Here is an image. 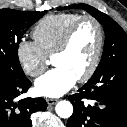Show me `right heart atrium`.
Returning a JSON list of instances; mask_svg holds the SVG:
<instances>
[{
  "label": "right heart atrium",
  "mask_w": 127,
  "mask_h": 127,
  "mask_svg": "<svg viewBox=\"0 0 127 127\" xmlns=\"http://www.w3.org/2000/svg\"><path fill=\"white\" fill-rule=\"evenodd\" d=\"M16 56L22 70L28 76L37 78L44 72L47 57L36 42L20 40L16 46Z\"/></svg>",
  "instance_id": "obj_1"
}]
</instances>
